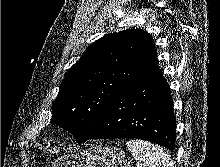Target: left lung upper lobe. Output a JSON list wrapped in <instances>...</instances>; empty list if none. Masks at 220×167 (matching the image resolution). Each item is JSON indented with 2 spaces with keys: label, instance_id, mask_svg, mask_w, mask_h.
<instances>
[{
  "label": "left lung upper lobe",
  "instance_id": "5c2ea615",
  "mask_svg": "<svg viewBox=\"0 0 220 167\" xmlns=\"http://www.w3.org/2000/svg\"><path fill=\"white\" fill-rule=\"evenodd\" d=\"M158 67L153 40L144 30L108 34L90 45L66 73L53 101L51 123L76 142L90 137L115 95Z\"/></svg>",
  "mask_w": 220,
  "mask_h": 167
}]
</instances>
